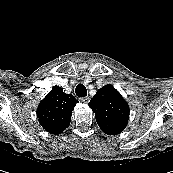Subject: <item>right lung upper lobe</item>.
<instances>
[{"label":"right lung upper lobe","mask_w":173,"mask_h":173,"mask_svg":"<svg viewBox=\"0 0 173 173\" xmlns=\"http://www.w3.org/2000/svg\"><path fill=\"white\" fill-rule=\"evenodd\" d=\"M77 102L72 94H65L62 88L55 86L40 102L37 118L46 131L59 134L69 126Z\"/></svg>","instance_id":"right-lung-upper-lobe-1"}]
</instances>
